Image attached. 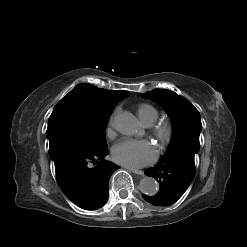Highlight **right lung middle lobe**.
<instances>
[{"label": "right lung middle lobe", "mask_w": 247, "mask_h": 247, "mask_svg": "<svg viewBox=\"0 0 247 247\" xmlns=\"http://www.w3.org/2000/svg\"><path fill=\"white\" fill-rule=\"evenodd\" d=\"M115 106H101L79 92L70 91L53 109L46 136L88 150L107 147L105 127Z\"/></svg>", "instance_id": "obj_1"}]
</instances>
